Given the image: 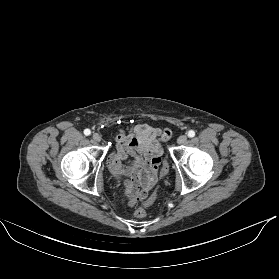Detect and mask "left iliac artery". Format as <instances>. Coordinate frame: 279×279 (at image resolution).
<instances>
[{"label":"left iliac artery","mask_w":279,"mask_h":279,"mask_svg":"<svg viewBox=\"0 0 279 279\" xmlns=\"http://www.w3.org/2000/svg\"><path fill=\"white\" fill-rule=\"evenodd\" d=\"M194 136H195V132H194L193 130H190V131L188 132V137L192 138V137H194Z\"/></svg>","instance_id":"obj_1"}]
</instances>
